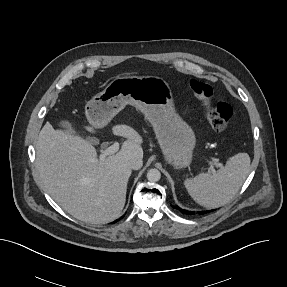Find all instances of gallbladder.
<instances>
[{"mask_svg": "<svg viewBox=\"0 0 287 287\" xmlns=\"http://www.w3.org/2000/svg\"><path fill=\"white\" fill-rule=\"evenodd\" d=\"M58 125H59L60 128H62L63 130H65L66 132H68L70 134H77L74 126L68 120H62V121L59 122ZM90 142L94 143V139H91Z\"/></svg>", "mask_w": 287, "mask_h": 287, "instance_id": "obj_1", "label": "gallbladder"}]
</instances>
